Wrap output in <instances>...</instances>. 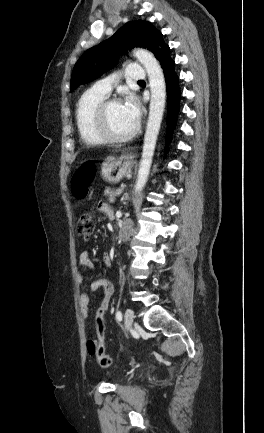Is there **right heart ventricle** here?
Wrapping results in <instances>:
<instances>
[{
	"label": "right heart ventricle",
	"mask_w": 264,
	"mask_h": 433,
	"mask_svg": "<svg viewBox=\"0 0 264 433\" xmlns=\"http://www.w3.org/2000/svg\"><path fill=\"white\" fill-rule=\"evenodd\" d=\"M105 99L106 95L91 88L81 95L76 104V126L79 136L85 144L95 145L104 142L94 129L93 115L97 106Z\"/></svg>",
	"instance_id": "right-heart-ventricle-1"
}]
</instances>
